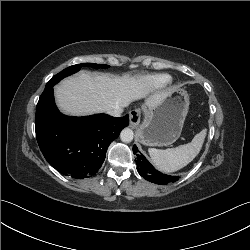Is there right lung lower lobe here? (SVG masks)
<instances>
[{
    "label": "right lung lower lobe",
    "instance_id": "1",
    "mask_svg": "<svg viewBox=\"0 0 250 250\" xmlns=\"http://www.w3.org/2000/svg\"><path fill=\"white\" fill-rule=\"evenodd\" d=\"M52 87L45 88L36 108L38 145L48 163L61 174L88 178L100 169L107 147L128 126L129 117L63 115L55 105Z\"/></svg>",
    "mask_w": 250,
    "mask_h": 250
}]
</instances>
